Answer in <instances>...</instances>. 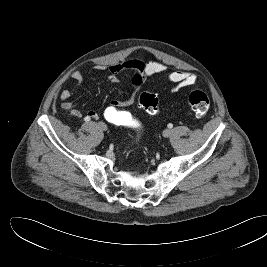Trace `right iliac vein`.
Instances as JSON below:
<instances>
[{
  "label": "right iliac vein",
  "instance_id": "obj_1",
  "mask_svg": "<svg viewBox=\"0 0 267 267\" xmlns=\"http://www.w3.org/2000/svg\"><path fill=\"white\" fill-rule=\"evenodd\" d=\"M98 126H99V128H100L101 130H103V131H106V130H107V126H106V124H104L103 122H100V123L98 124Z\"/></svg>",
  "mask_w": 267,
  "mask_h": 267
}]
</instances>
